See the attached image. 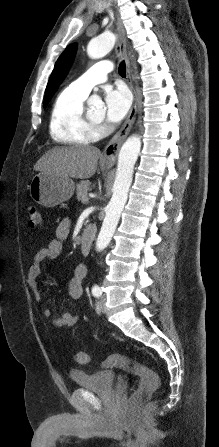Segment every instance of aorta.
Here are the masks:
<instances>
[{
    "label": "aorta",
    "instance_id": "762f6f07",
    "mask_svg": "<svg viewBox=\"0 0 219 447\" xmlns=\"http://www.w3.org/2000/svg\"><path fill=\"white\" fill-rule=\"evenodd\" d=\"M116 36L112 32H104L90 40L87 53L92 59L108 54L114 47ZM141 149V138L134 134L122 145L117 163L116 177L113 184V195L105 209V218L96 242V249L101 251L107 247L118 225L121 213L127 202L129 188L132 183L134 165Z\"/></svg>",
    "mask_w": 219,
    "mask_h": 447
}]
</instances>
